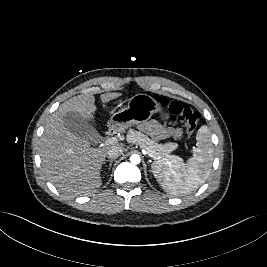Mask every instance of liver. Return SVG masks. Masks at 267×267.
Wrapping results in <instances>:
<instances>
[{
    "mask_svg": "<svg viewBox=\"0 0 267 267\" xmlns=\"http://www.w3.org/2000/svg\"><path fill=\"white\" fill-rule=\"evenodd\" d=\"M121 93H104L100 95L103 103L120 97ZM95 97L92 94L75 96L59 106L46 123L40 141V157L46 178L59 191L66 195H88L97 190L101 184V169L107 151L115 143L101 148L91 147V142L79 138L64 125V115L77 112L88 122H94ZM114 131L123 129L113 128Z\"/></svg>",
    "mask_w": 267,
    "mask_h": 267,
    "instance_id": "obj_1",
    "label": "liver"
}]
</instances>
